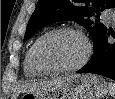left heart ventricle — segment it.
Instances as JSON below:
<instances>
[{"label":"left heart ventricle","mask_w":115,"mask_h":99,"mask_svg":"<svg viewBox=\"0 0 115 99\" xmlns=\"http://www.w3.org/2000/svg\"><path fill=\"white\" fill-rule=\"evenodd\" d=\"M40 57L49 67H67L76 64L83 56L85 45L81 38L71 33H60L44 40Z\"/></svg>","instance_id":"obj_1"}]
</instances>
